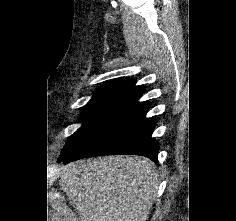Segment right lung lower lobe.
I'll return each mask as SVG.
<instances>
[{
  "mask_svg": "<svg viewBox=\"0 0 236 221\" xmlns=\"http://www.w3.org/2000/svg\"><path fill=\"white\" fill-rule=\"evenodd\" d=\"M142 93L105 121L74 151L60 159L64 163L78 159L115 154L146 156L157 162L158 143L151 138L156 121L146 118L149 105L138 102Z\"/></svg>",
  "mask_w": 236,
  "mask_h": 221,
  "instance_id": "right-lung-lower-lobe-1",
  "label": "right lung lower lobe"
}]
</instances>
